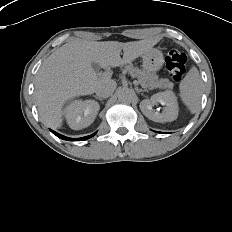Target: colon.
<instances>
[{
    "label": "colon",
    "mask_w": 232,
    "mask_h": 232,
    "mask_svg": "<svg viewBox=\"0 0 232 232\" xmlns=\"http://www.w3.org/2000/svg\"><path fill=\"white\" fill-rule=\"evenodd\" d=\"M186 56L178 50H170L165 58L168 74L174 81H180L186 71Z\"/></svg>",
    "instance_id": "obj_1"
}]
</instances>
